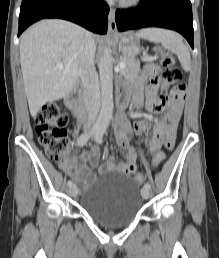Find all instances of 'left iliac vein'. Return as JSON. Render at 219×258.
<instances>
[{
  "instance_id": "1",
  "label": "left iliac vein",
  "mask_w": 219,
  "mask_h": 258,
  "mask_svg": "<svg viewBox=\"0 0 219 258\" xmlns=\"http://www.w3.org/2000/svg\"><path fill=\"white\" fill-rule=\"evenodd\" d=\"M141 195L144 199H148L150 197V191L147 188L141 189Z\"/></svg>"
}]
</instances>
